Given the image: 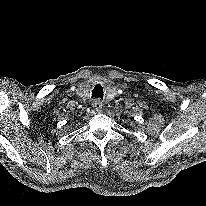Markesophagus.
I'll list each match as a JSON object with an SVG mask.
<instances>
[{
  "label": "esophagus",
  "instance_id": "34e87169",
  "mask_svg": "<svg viewBox=\"0 0 206 206\" xmlns=\"http://www.w3.org/2000/svg\"><path fill=\"white\" fill-rule=\"evenodd\" d=\"M102 106H103V103L99 98H96L93 100L92 107H93L94 111L100 112L102 109Z\"/></svg>",
  "mask_w": 206,
  "mask_h": 206
}]
</instances>
